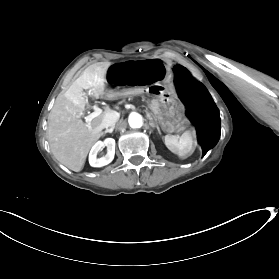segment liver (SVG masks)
Wrapping results in <instances>:
<instances>
[{
  "label": "liver",
  "instance_id": "obj_1",
  "mask_svg": "<svg viewBox=\"0 0 279 279\" xmlns=\"http://www.w3.org/2000/svg\"><path fill=\"white\" fill-rule=\"evenodd\" d=\"M106 69L91 65L68 90L59 94L48 115L47 139L54 157L72 171H81L92 145L101 137L103 114L86 124L81 117L85 111L83 89H89L94 98L104 94Z\"/></svg>",
  "mask_w": 279,
  "mask_h": 279
}]
</instances>
